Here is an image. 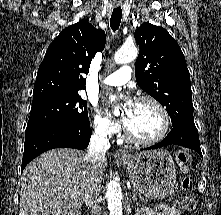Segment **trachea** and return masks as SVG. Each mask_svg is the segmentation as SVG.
<instances>
[{
  "label": "trachea",
  "mask_w": 221,
  "mask_h": 215,
  "mask_svg": "<svg viewBox=\"0 0 221 215\" xmlns=\"http://www.w3.org/2000/svg\"><path fill=\"white\" fill-rule=\"evenodd\" d=\"M121 17H122L121 7L114 8L110 19V26L113 31L118 30L121 23Z\"/></svg>",
  "instance_id": "1"
}]
</instances>
